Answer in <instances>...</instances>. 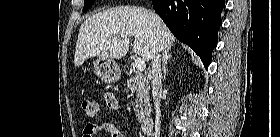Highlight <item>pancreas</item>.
<instances>
[{
  "instance_id": "obj_1",
  "label": "pancreas",
  "mask_w": 280,
  "mask_h": 137,
  "mask_svg": "<svg viewBox=\"0 0 280 137\" xmlns=\"http://www.w3.org/2000/svg\"><path fill=\"white\" fill-rule=\"evenodd\" d=\"M127 88L136 95L135 111L138 121L142 122L151 111L148 81L140 74L127 81Z\"/></svg>"
}]
</instances>
